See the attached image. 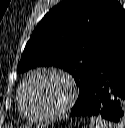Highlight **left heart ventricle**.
<instances>
[{"label":"left heart ventricle","mask_w":125,"mask_h":128,"mask_svg":"<svg viewBox=\"0 0 125 128\" xmlns=\"http://www.w3.org/2000/svg\"><path fill=\"white\" fill-rule=\"evenodd\" d=\"M68 96L66 82L53 74L34 76L25 89L26 110L32 114H46L57 110Z\"/></svg>","instance_id":"obj_1"}]
</instances>
